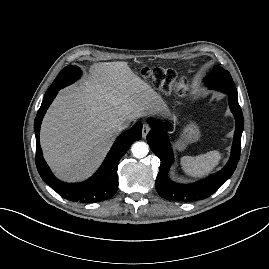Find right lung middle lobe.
I'll list each match as a JSON object with an SVG mask.
<instances>
[{"label": "right lung middle lobe", "mask_w": 269, "mask_h": 269, "mask_svg": "<svg viewBox=\"0 0 269 269\" xmlns=\"http://www.w3.org/2000/svg\"><path fill=\"white\" fill-rule=\"evenodd\" d=\"M81 74L82 71L78 66H71V65L66 66L64 69L61 70V72L56 77L51 87L46 92V94L58 87L63 88L67 85L72 84L73 82H75L80 78Z\"/></svg>", "instance_id": "dd1d6c3e"}]
</instances>
